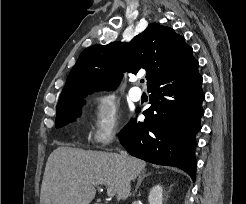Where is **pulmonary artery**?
Here are the masks:
<instances>
[{"label": "pulmonary artery", "instance_id": "e3ab8cb5", "mask_svg": "<svg viewBox=\"0 0 246 204\" xmlns=\"http://www.w3.org/2000/svg\"><path fill=\"white\" fill-rule=\"evenodd\" d=\"M129 97L135 102L140 101L142 98V91L138 87H132L129 91Z\"/></svg>", "mask_w": 246, "mask_h": 204}]
</instances>
